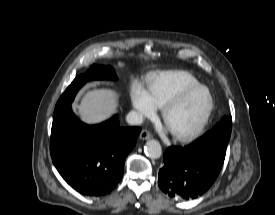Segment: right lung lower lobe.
Returning a JSON list of instances; mask_svg holds the SVG:
<instances>
[{"mask_svg":"<svg viewBox=\"0 0 275 215\" xmlns=\"http://www.w3.org/2000/svg\"><path fill=\"white\" fill-rule=\"evenodd\" d=\"M140 131L120 127L117 115L98 125L84 124L68 104L54 111L51 157L63 179L79 193L105 195L122 178Z\"/></svg>","mask_w":275,"mask_h":215,"instance_id":"right-lung-lower-lobe-1","label":"right lung lower lobe"}]
</instances>
